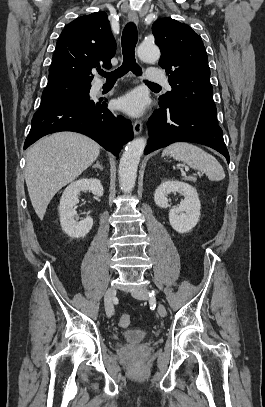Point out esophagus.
<instances>
[{
    "mask_svg": "<svg viewBox=\"0 0 265 407\" xmlns=\"http://www.w3.org/2000/svg\"><path fill=\"white\" fill-rule=\"evenodd\" d=\"M128 18H129V20H130L131 22H133V23H135V24H137L138 21H139L137 13H136L135 11H133V10H131V11L128 13ZM142 126H143V125H142V122H141L140 120H137V121H135V122L133 123V132H134V135H139V134L141 133V131H142Z\"/></svg>",
    "mask_w": 265,
    "mask_h": 407,
    "instance_id": "obj_1",
    "label": "esophagus"
}]
</instances>
